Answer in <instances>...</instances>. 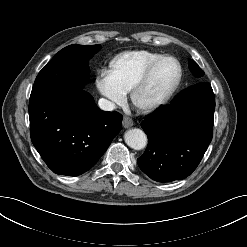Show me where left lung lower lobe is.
<instances>
[{"mask_svg": "<svg viewBox=\"0 0 247 247\" xmlns=\"http://www.w3.org/2000/svg\"><path fill=\"white\" fill-rule=\"evenodd\" d=\"M214 110L215 96L205 82L189 87L147 117L141 127L149 143L137 159L140 169L157 182L188 177L212 140Z\"/></svg>", "mask_w": 247, "mask_h": 247, "instance_id": "1", "label": "left lung lower lobe"}]
</instances>
